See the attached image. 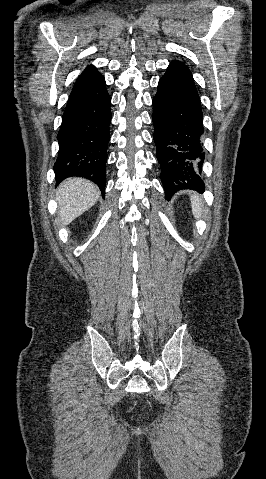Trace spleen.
<instances>
[{"label":"spleen","instance_id":"1","mask_svg":"<svg viewBox=\"0 0 266 479\" xmlns=\"http://www.w3.org/2000/svg\"><path fill=\"white\" fill-rule=\"evenodd\" d=\"M191 207L194 217L197 219L201 218L203 214V206L200 197L196 194L191 196Z\"/></svg>","mask_w":266,"mask_h":479}]
</instances>
